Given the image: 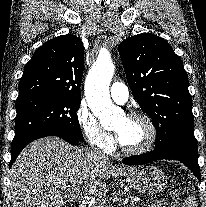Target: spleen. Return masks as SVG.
I'll use <instances>...</instances> for the list:
<instances>
[{"label":"spleen","instance_id":"spleen-1","mask_svg":"<svg viewBox=\"0 0 206 207\" xmlns=\"http://www.w3.org/2000/svg\"><path fill=\"white\" fill-rule=\"evenodd\" d=\"M183 207H197V201L194 195L188 196Z\"/></svg>","mask_w":206,"mask_h":207}]
</instances>
